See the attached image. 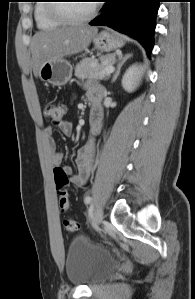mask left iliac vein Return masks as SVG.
I'll return each mask as SVG.
<instances>
[{"mask_svg": "<svg viewBox=\"0 0 195 299\" xmlns=\"http://www.w3.org/2000/svg\"><path fill=\"white\" fill-rule=\"evenodd\" d=\"M102 217H103V209L101 206H96L94 211H93V215H92V225L94 227H98L99 224L102 221Z\"/></svg>", "mask_w": 195, "mask_h": 299, "instance_id": "left-iliac-vein-1", "label": "left iliac vein"}]
</instances>
